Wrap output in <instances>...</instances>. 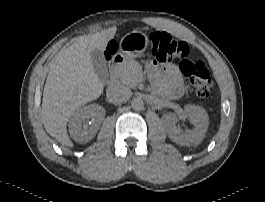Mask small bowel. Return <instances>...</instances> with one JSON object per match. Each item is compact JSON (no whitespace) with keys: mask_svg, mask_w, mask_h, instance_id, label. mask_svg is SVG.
I'll use <instances>...</instances> for the list:
<instances>
[{"mask_svg":"<svg viewBox=\"0 0 265 202\" xmlns=\"http://www.w3.org/2000/svg\"><path fill=\"white\" fill-rule=\"evenodd\" d=\"M145 69L155 90L159 91V83L163 82L171 90L170 95L177 96L181 93L183 78L176 64H159L155 61H150L145 64Z\"/></svg>","mask_w":265,"mask_h":202,"instance_id":"1","label":"small bowel"}]
</instances>
